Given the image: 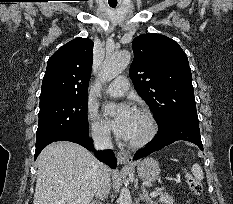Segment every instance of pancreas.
Here are the masks:
<instances>
[{"label": "pancreas", "instance_id": "obj_1", "mask_svg": "<svg viewBox=\"0 0 233 204\" xmlns=\"http://www.w3.org/2000/svg\"><path fill=\"white\" fill-rule=\"evenodd\" d=\"M159 202L163 203V204H173L174 199L172 196L168 195L165 192H159Z\"/></svg>", "mask_w": 233, "mask_h": 204}]
</instances>
